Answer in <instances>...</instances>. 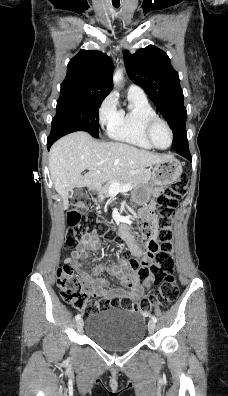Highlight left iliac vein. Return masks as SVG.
<instances>
[{"mask_svg": "<svg viewBox=\"0 0 228 396\" xmlns=\"http://www.w3.org/2000/svg\"><path fill=\"white\" fill-rule=\"evenodd\" d=\"M156 328V324L153 320H150L148 323V330L150 334H153Z\"/></svg>", "mask_w": 228, "mask_h": 396, "instance_id": "1", "label": "left iliac vein"}]
</instances>
